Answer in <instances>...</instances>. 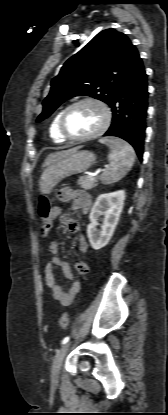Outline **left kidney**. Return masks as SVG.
<instances>
[{
    "label": "left kidney",
    "instance_id": "obj_1",
    "mask_svg": "<svg viewBox=\"0 0 168 415\" xmlns=\"http://www.w3.org/2000/svg\"><path fill=\"white\" fill-rule=\"evenodd\" d=\"M124 200V190L101 194L97 197L89 215L90 224L87 226V236L93 249L99 250L110 241L118 224ZM102 215L104 218L101 229L98 230L96 227Z\"/></svg>",
    "mask_w": 168,
    "mask_h": 415
}]
</instances>
